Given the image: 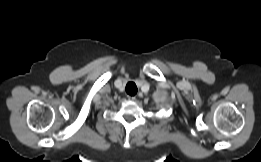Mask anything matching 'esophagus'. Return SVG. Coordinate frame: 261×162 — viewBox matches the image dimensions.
<instances>
[{"label":"esophagus","instance_id":"obj_1","mask_svg":"<svg viewBox=\"0 0 261 162\" xmlns=\"http://www.w3.org/2000/svg\"><path fill=\"white\" fill-rule=\"evenodd\" d=\"M128 99L134 101V100H136V97L135 96H128Z\"/></svg>","mask_w":261,"mask_h":162}]
</instances>
